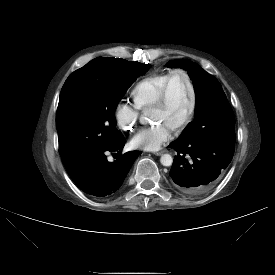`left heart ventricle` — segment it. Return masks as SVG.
Instances as JSON below:
<instances>
[{"instance_id":"left-heart-ventricle-1","label":"left heart ventricle","mask_w":275,"mask_h":275,"mask_svg":"<svg viewBox=\"0 0 275 275\" xmlns=\"http://www.w3.org/2000/svg\"><path fill=\"white\" fill-rule=\"evenodd\" d=\"M190 104V91L186 79L175 75L171 81L168 101L161 108L152 109V121L164 122L174 128L187 114Z\"/></svg>"}]
</instances>
